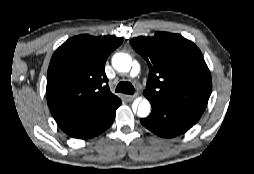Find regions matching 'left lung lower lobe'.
Here are the masks:
<instances>
[{
    "label": "left lung lower lobe",
    "instance_id": "left-lung-lower-lobe-1",
    "mask_svg": "<svg viewBox=\"0 0 254 174\" xmlns=\"http://www.w3.org/2000/svg\"><path fill=\"white\" fill-rule=\"evenodd\" d=\"M152 114L140 122L150 131L161 137L171 138L188 131L201 117V114L183 107L150 99Z\"/></svg>",
    "mask_w": 254,
    "mask_h": 174
}]
</instances>
